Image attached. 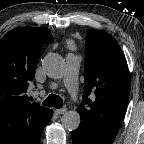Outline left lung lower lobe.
Here are the masks:
<instances>
[{"label":"left lung lower lobe","mask_w":144,"mask_h":144,"mask_svg":"<svg viewBox=\"0 0 144 144\" xmlns=\"http://www.w3.org/2000/svg\"><path fill=\"white\" fill-rule=\"evenodd\" d=\"M73 144H112L114 140L100 138L89 134L84 128L78 127L71 134Z\"/></svg>","instance_id":"obj_1"}]
</instances>
